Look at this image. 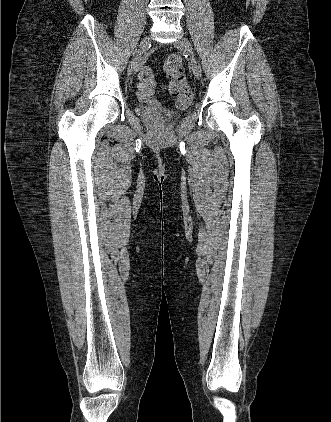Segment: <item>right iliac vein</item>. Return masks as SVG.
I'll return each instance as SVG.
<instances>
[{
    "label": "right iliac vein",
    "instance_id": "obj_1",
    "mask_svg": "<svg viewBox=\"0 0 331 422\" xmlns=\"http://www.w3.org/2000/svg\"><path fill=\"white\" fill-rule=\"evenodd\" d=\"M150 42V37L149 36H145L139 45V48L134 56V58L132 59V61L130 62L129 66H128V74L131 75L134 71H136L139 66L141 65V57L144 54V52L147 49V46Z\"/></svg>",
    "mask_w": 331,
    "mask_h": 422
}]
</instances>
